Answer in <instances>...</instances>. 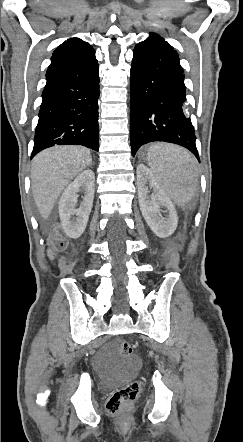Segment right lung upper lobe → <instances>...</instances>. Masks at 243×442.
Returning a JSON list of instances; mask_svg holds the SVG:
<instances>
[{
    "mask_svg": "<svg viewBox=\"0 0 243 442\" xmlns=\"http://www.w3.org/2000/svg\"><path fill=\"white\" fill-rule=\"evenodd\" d=\"M93 50L91 45L79 38L68 39L53 52L50 66L65 60L82 57Z\"/></svg>",
    "mask_w": 243,
    "mask_h": 442,
    "instance_id": "obj_1",
    "label": "right lung upper lobe"
}]
</instances>
